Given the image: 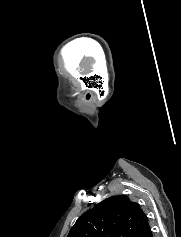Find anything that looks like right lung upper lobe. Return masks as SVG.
Wrapping results in <instances>:
<instances>
[{"label": "right lung upper lobe", "mask_w": 181, "mask_h": 237, "mask_svg": "<svg viewBox=\"0 0 181 237\" xmlns=\"http://www.w3.org/2000/svg\"><path fill=\"white\" fill-rule=\"evenodd\" d=\"M148 218L126 195L109 197L82 214L67 237H152Z\"/></svg>", "instance_id": "cb5924a9"}]
</instances>
